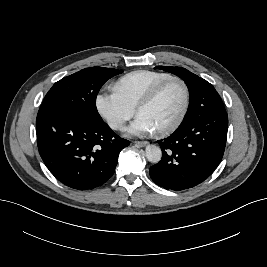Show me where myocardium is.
<instances>
[{
    "instance_id": "myocardium-1",
    "label": "myocardium",
    "mask_w": 267,
    "mask_h": 267,
    "mask_svg": "<svg viewBox=\"0 0 267 267\" xmlns=\"http://www.w3.org/2000/svg\"><path fill=\"white\" fill-rule=\"evenodd\" d=\"M171 81L179 82L181 86L183 87L184 102H183L181 112L179 116L177 117V119L169 126L156 130V134L160 136H165V135H168L174 132L182 124V122L184 121L186 117V114L188 112L189 105H190V89L187 83L185 82V80L178 76H169L161 80L148 91V93L141 99V101L136 106V112L139 113V111L142 108L150 105L157 98V96L159 95L163 87Z\"/></svg>"
}]
</instances>
